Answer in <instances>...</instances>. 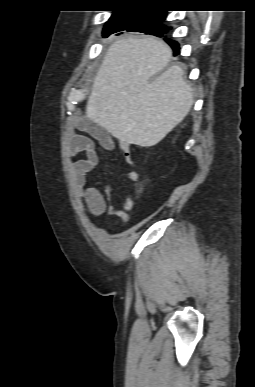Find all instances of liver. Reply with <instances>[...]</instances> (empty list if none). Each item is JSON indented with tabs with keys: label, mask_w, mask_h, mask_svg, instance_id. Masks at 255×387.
I'll list each match as a JSON object with an SVG mask.
<instances>
[{
	"label": "liver",
	"mask_w": 255,
	"mask_h": 387,
	"mask_svg": "<svg viewBox=\"0 0 255 387\" xmlns=\"http://www.w3.org/2000/svg\"><path fill=\"white\" fill-rule=\"evenodd\" d=\"M171 58V48L154 37L115 41L94 78L87 117L123 144L159 143L193 105L182 68L174 65L162 72Z\"/></svg>",
	"instance_id": "1"
}]
</instances>
